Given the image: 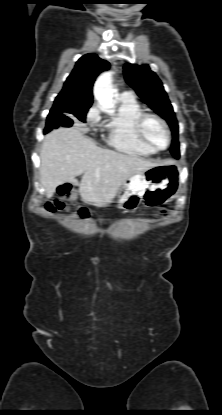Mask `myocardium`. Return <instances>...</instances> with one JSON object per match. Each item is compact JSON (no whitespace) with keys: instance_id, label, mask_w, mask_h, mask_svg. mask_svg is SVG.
Wrapping results in <instances>:
<instances>
[{"instance_id":"myocardium-1","label":"myocardium","mask_w":222,"mask_h":415,"mask_svg":"<svg viewBox=\"0 0 222 415\" xmlns=\"http://www.w3.org/2000/svg\"><path fill=\"white\" fill-rule=\"evenodd\" d=\"M150 119H154V120L158 121L163 126V128L166 132V136H167V143H166L165 146H158V145L154 144L147 137L145 128H146L147 121L150 120ZM136 130H137V134H138L139 138L141 139V141L144 144L148 145L149 147L155 149L156 151L166 149L171 143L172 136H171V130L169 128V125L163 117H161L160 115H158L156 113L143 112L137 120Z\"/></svg>"}]
</instances>
